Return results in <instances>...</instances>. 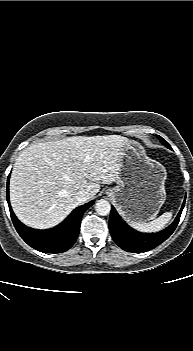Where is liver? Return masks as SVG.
Instances as JSON below:
<instances>
[{"mask_svg":"<svg viewBox=\"0 0 193 351\" xmlns=\"http://www.w3.org/2000/svg\"><path fill=\"white\" fill-rule=\"evenodd\" d=\"M126 141L119 135L73 136L30 145L10 178L14 213L37 229L58 225L79 205V192L88 191L92 199L100 184L116 182Z\"/></svg>","mask_w":193,"mask_h":351,"instance_id":"obj_1","label":"liver"}]
</instances>
